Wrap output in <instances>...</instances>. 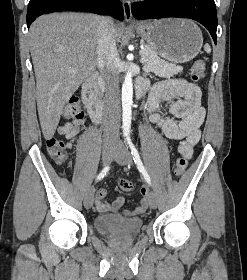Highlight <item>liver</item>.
Segmentation results:
<instances>
[{
  "label": "liver",
  "instance_id": "6515ba94",
  "mask_svg": "<svg viewBox=\"0 0 247 280\" xmlns=\"http://www.w3.org/2000/svg\"><path fill=\"white\" fill-rule=\"evenodd\" d=\"M100 17L52 13L30 26L29 43L36 77V101L42 133L51 139L63 108L97 65ZM116 41L124 27L115 24Z\"/></svg>",
  "mask_w": 247,
  "mask_h": 280
}]
</instances>
